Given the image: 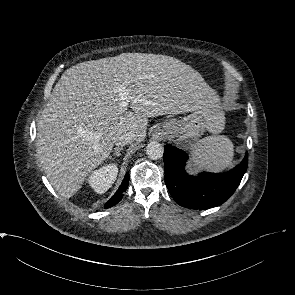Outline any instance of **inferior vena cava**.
<instances>
[{"label": "inferior vena cava", "mask_w": 295, "mask_h": 295, "mask_svg": "<svg viewBox=\"0 0 295 295\" xmlns=\"http://www.w3.org/2000/svg\"><path fill=\"white\" fill-rule=\"evenodd\" d=\"M136 139H137V135L135 133L126 132V133L118 136L115 139L114 143L117 146H124V145H126V144H128V143H130V142H132V141H134Z\"/></svg>", "instance_id": "1"}]
</instances>
